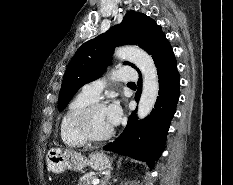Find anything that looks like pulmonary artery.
I'll return each instance as SVG.
<instances>
[{
  "instance_id": "1",
  "label": "pulmonary artery",
  "mask_w": 233,
  "mask_h": 185,
  "mask_svg": "<svg viewBox=\"0 0 233 185\" xmlns=\"http://www.w3.org/2000/svg\"><path fill=\"white\" fill-rule=\"evenodd\" d=\"M111 79L123 82H133L137 80V74L132 68L124 67L114 71L112 73ZM106 85V78L94 80L83 86L81 94L91 100H97Z\"/></svg>"
}]
</instances>
